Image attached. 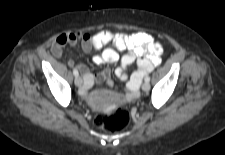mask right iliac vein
Instances as JSON below:
<instances>
[{
	"label": "right iliac vein",
	"mask_w": 225,
	"mask_h": 155,
	"mask_svg": "<svg viewBox=\"0 0 225 155\" xmlns=\"http://www.w3.org/2000/svg\"><path fill=\"white\" fill-rule=\"evenodd\" d=\"M74 83L77 87H80L82 85V79L80 76H76L75 77V80H74Z\"/></svg>",
	"instance_id": "obj_1"
}]
</instances>
